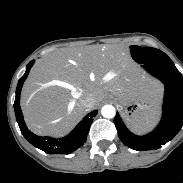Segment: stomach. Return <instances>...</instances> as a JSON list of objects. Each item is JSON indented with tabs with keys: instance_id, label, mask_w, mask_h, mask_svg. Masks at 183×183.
Instances as JSON below:
<instances>
[{
	"instance_id": "stomach-1",
	"label": "stomach",
	"mask_w": 183,
	"mask_h": 183,
	"mask_svg": "<svg viewBox=\"0 0 183 183\" xmlns=\"http://www.w3.org/2000/svg\"><path fill=\"white\" fill-rule=\"evenodd\" d=\"M116 100L125 118L131 123L142 121L146 115L156 110L157 105L152 100L143 97L128 100L116 96Z\"/></svg>"
}]
</instances>
